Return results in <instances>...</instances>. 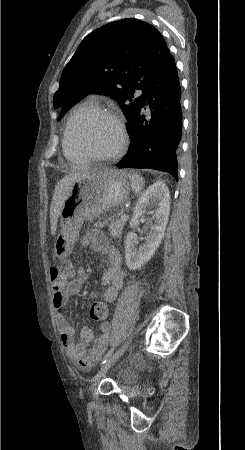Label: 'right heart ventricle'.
<instances>
[{
	"label": "right heart ventricle",
	"mask_w": 245,
	"mask_h": 450,
	"mask_svg": "<svg viewBox=\"0 0 245 450\" xmlns=\"http://www.w3.org/2000/svg\"><path fill=\"white\" fill-rule=\"evenodd\" d=\"M95 109H98L95 101L89 99L76 105L71 112L63 137V151L65 156L71 161L83 163L86 162L88 158L73 146L70 132V122L72 119H80L86 116Z\"/></svg>",
	"instance_id": "obj_1"
}]
</instances>
